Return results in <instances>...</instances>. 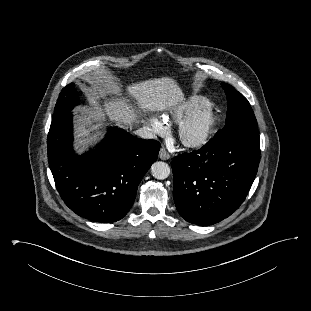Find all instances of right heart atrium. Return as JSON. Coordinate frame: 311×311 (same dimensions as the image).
Returning <instances> with one entry per match:
<instances>
[{"label": "right heart atrium", "mask_w": 311, "mask_h": 311, "mask_svg": "<svg viewBox=\"0 0 311 311\" xmlns=\"http://www.w3.org/2000/svg\"><path fill=\"white\" fill-rule=\"evenodd\" d=\"M148 124L151 131L155 135H164L168 132V125L166 124V122L157 117H149Z\"/></svg>", "instance_id": "obj_1"}]
</instances>
